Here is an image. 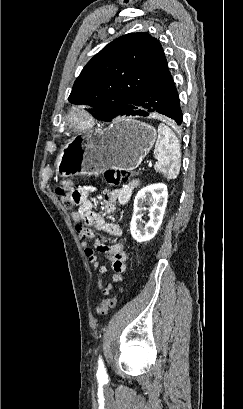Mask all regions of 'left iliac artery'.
Segmentation results:
<instances>
[{
  "mask_svg": "<svg viewBox=\"0 0 243 409\" xmlns=\"http://www.w3.org/2000/svg\"><path fill=\"white\" fill-rule=\"evenodd\" d=\"M97 378L98 380H103L107 378L106 369L103 364L102 358H99V361H98Z\"/></svg>",
  "mask_w": 243,
  "mask_h": 409,
  "instance_id": "obj_1",
  "label": "left iliac artery"
}]
</instances>
